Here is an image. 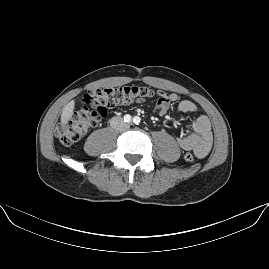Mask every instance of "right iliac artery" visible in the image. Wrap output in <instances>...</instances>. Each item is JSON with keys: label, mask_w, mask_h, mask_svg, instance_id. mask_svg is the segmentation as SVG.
<instances>
[{"label": "right iliac artery", "mask_w": 269, "mask_h": 269, "mask_svg": "<svg viewBox=\"0 0 269 269\" xmlns=\"http://www.w3.org/2000/svg\"><path fill=\"white\" fill-rule=\"evenodd\" d=\"M131 121V116L129 114L124 116V122L129 123Z\"/></svg>", "instance_id": "right-iliac-artery-1"}]
</instances>
